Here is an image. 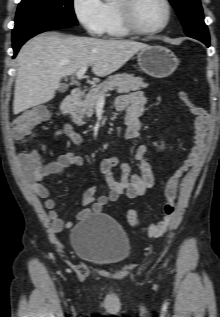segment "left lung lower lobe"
<instances>
[{
  "label": "left lung lower lobe",
  "instance_id": "left-lung-lower-lobe-1",
  "mask_svg": "<svg viewBox=\"0 0 220 317\" xmlns=\"http://www.w3.org/2000/svg\"><path fill=\"white\" fill-rule=\"evenodd\" d=\"M189 37L195 38L201 42H203L204 44H206L208 47L210 45V39L209 36L206 37H201V36H197V35H188Z\"/></svg>",
  "mask_w": 220,
  "mask_h": 317
}]
</instances>
